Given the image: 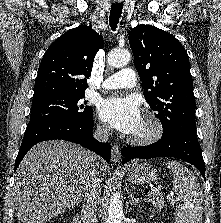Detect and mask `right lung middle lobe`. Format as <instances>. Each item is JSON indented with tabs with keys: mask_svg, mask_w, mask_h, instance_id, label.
<instances>
[{
	"mask_svg": "<svg viewBox=\"0 0 221 223\" xmlns=\"http://www.w3.org/2000/svg\"><path fill=\"white\" fill-rule=\"evenodd\" d=\"M85 93L51 97L32 102L30 122L33 126L50 120H66L72 122H85L93 118V111L83 101Z\"/></svg>",
	"mask_w": 221,
	"mask_h": 223,
	"instance_id": "right-lung-middle-lobe-1",
	"label": "right lung middle lobe"
}]
</instances>
